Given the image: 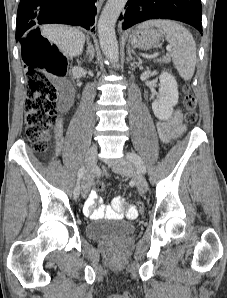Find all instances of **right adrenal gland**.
I'll list each match as a JSON object with an SVG mask.
<instances>
[{
	"instance_id": "1",
	"label": "right adrenal gland",
	"mask_w": 227,
	"mask_h": 298,
	"mask_svg": "<svg viewBox=\"0 0 227 298\" xmlns=\"http://www.w3.org/2000/svg\"><path fill=\"white\" fill-rule=\"evenodd\" d=\"M87 45H88V47H87V51H86V58H87V60L90 62V61H92V59L94 58L95 51H94V48H93V46L91 45V43H90V41H89L88 38H87ZM86 58H85V59H86Z\"/></svg>"
}]
</instances>
